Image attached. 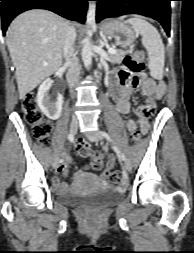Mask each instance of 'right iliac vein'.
I'll use <instances>...</instances> for the list:
<instances>
[{"label": "right iliac vein", "mask_w": 194, "mask_h": 253, "mask_svg": "<svg viewBox=\"0 0 194 253\" xmlns=\"http://www.w3.org/2000/svg\"><path fill=\"white\" fill-rule=\"evenodd\" d=\"M78 127H79V123L77 120H72L71 123H70V133L72 134H76L77 130H78ZM59 159H55L52 166L54 169H57L59 167Z\"/></svg>", "instance_id": "1"}]
</instances>
